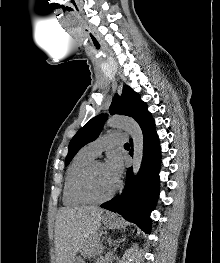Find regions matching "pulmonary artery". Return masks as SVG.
I'll return each instance as SVG.
<instances>
[{
    "mask_svg": "<svg viewBox=\"0 0 220 263\" xmlns=\"http://www.w3.org/2000/svg\"><path fill=\"white\" fill-rule=\"evenodd\" d=\"M126 141V136L122 133L113 132L105 134L95 141L85 146V149L94 157L99 155L103 150L114 146L123 144Z\"/></svg>",
    "mask_w": 220,
    "mask_h": 263,
    "instance_id": "e3ab8cb5",
    "label": "pulmonary artery"
}]
</instances>
